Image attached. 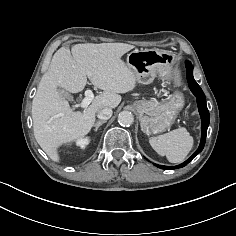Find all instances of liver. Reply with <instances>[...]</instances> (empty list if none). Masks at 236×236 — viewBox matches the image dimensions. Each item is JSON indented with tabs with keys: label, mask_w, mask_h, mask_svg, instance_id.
<instances>
[{
	"label": "liver",
	"mask_w": 236,
	"mask_h": 236,
	"mask_svg": "<svg viewBox=\"0 0 236 236\" xmlns=\"http://www.w3.org/2000/svg\"><path fill=\"white\" fill-rule=\"evenodd\" d=\"M133 48L126 43H84L75 44L71 52L61 47L54 54L32 102L35 139L53 161L60 162L61 145L78 141L90 132L98 110L117 107L122 99L119 94L134 90L137 76L121 60ZM87 77L103 93L83 112H74L63 92H81Z\"/></svg>",
	"instance_id": "obj_1"
}]
</instances>
